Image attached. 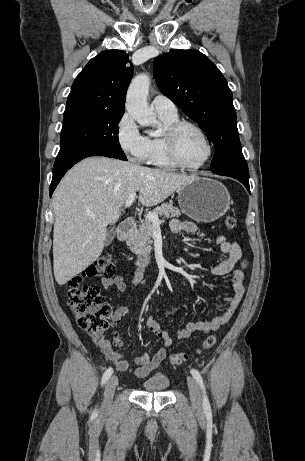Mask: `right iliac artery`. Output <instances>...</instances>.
Masks as SVG:
<instances>
[{
	"instance_id": "right-iliac-artery-1",
	"label": "right iliac artery",
	"mask_w": 305,
	"mask_h": 461,
	"mask_svg": "<svg viewBox=\"0 0 305 461\" xmlns=\"http://www.w3.org/2000/svg\"><path fill=\"white\" fill-rule=\"evenodd\" d=\"M113 373V369L111 367H109L103 374V377H102V384H105L106 381L110 378V376L112 375ZM96 413V410L95 412Z\"/></svg>"
}]
</instances>
